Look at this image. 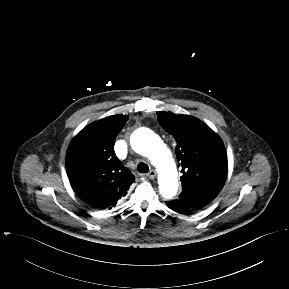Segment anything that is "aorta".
<instances>
[{
    "mask_svg": "<svg viewBox=\"0 0 289 289\" xmlns=\"http://www.w3.org/2000/svg\"><path fill=\"white\" fill-rule=\"evenodd\" d=\"M131 146L139 154L147 157L158 171L160 194L172 198L178 190V173L171 151L154 132L140 129L131 136Z\"/></svg>",
    "mask_w": 289,
    "mask_h": 289,
    "instance_id": "1",
    "label": "aorta"
}]
</instances>
